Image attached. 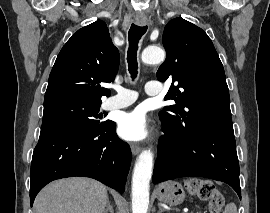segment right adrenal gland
I'll list each match as a JSON object with an SVG mask.
<instances>
[{"label":"right adrenal gland","mask_w":270,"mask_h":213,"mask_svg":"<svg viewBox=\"0 0 270 213\" xmlns=\"http://www.w3.org/2000/svg\"><path fill=\"white\" fill-rule=\"evenodd\" d=\"M108 212L109 213H114L113 207L110 204V201L109 200L107 201L106 208H105V210H104L103 213H108Z\"/></svg>","instance_id":"right-adrenal-gland-1"}]
</instances>
